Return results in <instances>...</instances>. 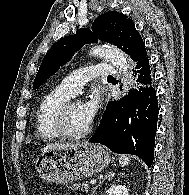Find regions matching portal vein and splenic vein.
I'll list each match as a JSON object with an SVG mask.
<instances>
[{
  "label": "portal vein and splenic vein",
  "instance_id": "1",
  "mask_svg": "<svg viewBox=\"0 0 189 195\" xmlns=\"http://www.w3.org/2000/svg\"><path fill=\"white\" fill-rule=\"evenodd\" d=\"M96 183V180H91L90 181V184H95Z\"/></svg>",
  "mask_w": 189,
  "mask_h": 195
}]
</instances>
